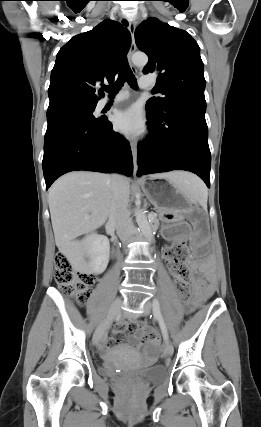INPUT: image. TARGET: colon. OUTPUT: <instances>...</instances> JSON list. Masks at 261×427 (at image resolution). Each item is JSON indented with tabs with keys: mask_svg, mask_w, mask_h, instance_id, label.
Segmentation results:
<instances>
[{
	"mask_svg": "<svg viewBox=\"0 0 261 427\" xmlns=\"http://www.w3.org/2000/svg\"><path fill=\"white\" fill-rule=\"evenodd\" d=\"M165 255L168 264L176 281V286L183 301L189 298V284L192 280V274L186 261L188 258V249L185 243H174L170 245ZM54 278L59 288L67 295L76 299L80 304H84L90 297L91 287L95 283V276L89 273L78 271L64 253H58L55 259ZM141 324L139 330L145 340L156 338V333L150 330L146 325Z\"/></svg>",
	"mask_w": 261,
	"mask_h": 427,
	"instance_id": "colon-1",
	"label": "colon"
}]
</instances>
